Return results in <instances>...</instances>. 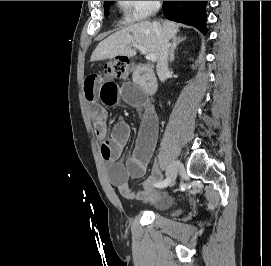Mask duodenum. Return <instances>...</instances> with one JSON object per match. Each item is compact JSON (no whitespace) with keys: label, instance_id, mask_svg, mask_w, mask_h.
I'll use <instances>...</instances> for the list:
<instances>
[{"label":"duodenum","instance_id":"410a0bca","mask_svg":"<svg viewBox=\"0 0 271 266\" xmlns=\"http://www.w3.org/2000/svg\"><path fill=\"white\" fill-rule=\"evenodd\" d=\"M133 81L148 94L157 91L158 82L151 68L138 64L133 72Z\"/></svg>","mask_w":271,"mask_h":266}]
</instances>
